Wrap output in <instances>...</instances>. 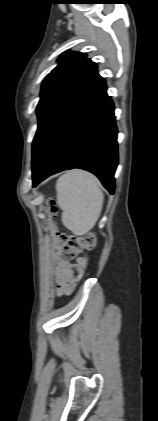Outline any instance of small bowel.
Listing matches in <instances>:
<instances>
[{
  "label": "small bowel",
  "mask_w": 158,
  "mask_h": 421,
  "mask_svg": "<svg viewBox=\"0 0 158 421\" xmlns=\"http://www.w3.org/2000/svg\"><path fill=\"white\" fill-rule=\"evenodd\" d=\"M70 265L64 261H58L56 265V274H57V281L59 285V293H62L65 290V285L68 280V273H69Z\"/></svg>",
  "instance_id": "1"
}]
</instances>
